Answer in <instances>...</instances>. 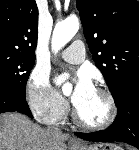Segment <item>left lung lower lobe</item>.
Masks as SVG:
<instances>
[{
	"instance_id": "1",
	"label": "left lung lower lobe",
	"mask_w": 139,
	"mask_h": 150,
	"mask_svg": "<svg viewBox=\"0 0 139 150\" xmlns=\"http://www.w3.org/2000/svg\"><path fill=\"white\" fill-rule=\"evenodd\" d=\"M115 104L118 113L111 127L75 135L87 141L125 142L139 149V79L127 85Z\"/></svg>"
}]
</instances>
